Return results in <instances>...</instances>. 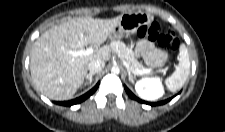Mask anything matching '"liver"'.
<instances>
[{
  "label": "liver",
  "mask_w": 225,
  "mask_h": 132,
  "mask_svg": "<svg viewBox=\"0 0 225 132\" xmlns=\"http://www.w3.org/2000/svg\"><path fill=\"white\" fill-rule=\"evenodd\" d=\"M121 18H73L45 31L31 51L30 71L36 88L52 100L71 99L83 84L88 64L92 60L105 62L111 55L108 47L85 56L74 57L69 52L104 43Z\"/></svg>",
  "instance_id": "1"
}]
</instances>
